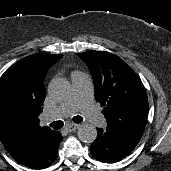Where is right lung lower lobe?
<instances>
[{"label":"right lung lower lobe","mask_w":171,"mask_h":171,"mask_svg":"<svg viewBox=\"0 0 171 171\" xmlns=\"http://www.w3.org/2000/svg\"><path fill=\"white\" fill-rule=\"evenodd\" d=\"M60 142L61 134L60 132H55V134L46 142L44 149L40 154L24 165L32 169L49 167L57 158L58 144Z\"/></svg>","instance_id":"98d812e1"}]
</instances>
